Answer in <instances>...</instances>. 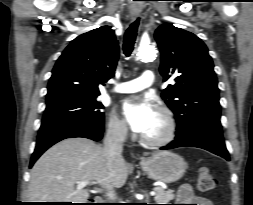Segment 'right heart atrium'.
<instances>
[{
    "label": "right heart atrium",
    "instance_id": "1",
    "mask_svg": "<svg viewBox=\"0 0 253 205\" xmlns=\"http://www.w3.org/2000/svg\"><path fill=\"white\" fill-rule=\"evenodd\" d=\"M108 133L115 139L123 140L128 134L126 123L116 115H111L107 125Z\"/></svg>",
    "mask_w": 253,
    "mask_h": 205
}]
</instances>
